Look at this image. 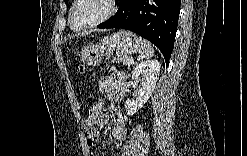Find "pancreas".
I'll return each instance as SVG.
<instances>
[{"instance_id": "pancreas-1", "label": "pancreas", "mask_w": 247, "mask_h": 156, "mask_svg": "<svg viewBox=\"0 0 247 156\" xmlns=\"http://www.w3.org/2000/svg\"><path fill=\"white\" fill-rule=\"evenodd\" d=\"M131 60H133V58L131 56L125 55V54H122V53H118L117 54V59H114L113 62L122 63L124 65H128Z\"/></svg>"}]
</instances>
